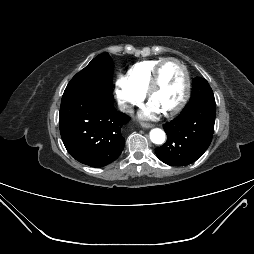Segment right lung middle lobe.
<instances>
[{"label":"right lung middle lobe","instance_id":"dd1d6c3e","mask_svg":"<svg viewBox=\"0 0 254 254\" xmlns=\"http://www.w3.org/2000/svg\"><path fill=\"white\" fill-rule=\"evenodd\" d=\"M113 68L109 54L102 53L71 79L64 92L84 91L94 96L111 94Z\"/></svg>","mask_w":254,"mask_h":254}]
</instances>
